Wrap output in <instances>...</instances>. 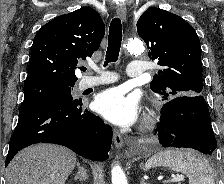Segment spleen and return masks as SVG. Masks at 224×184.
I'll return each mask as SVG.
<instances>
[{
  "instance_id": "obj_1",
  "label": "spleen",
  "mask_w": 224,
  "mask_h": 184,
  "mask_svg": "<svg viewBox=\"0 0 224 184\" xmlns=\"http://www.w3.org/2000/svg\"><path fill=\"white\" fill-rule=\"evenodd\" d=\"M158 166L185 174L189 178V184H215L208 161L188 149L161 151L149 158L145 165L147 169Z\"/></svg>"
}]
</instances>
